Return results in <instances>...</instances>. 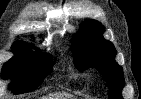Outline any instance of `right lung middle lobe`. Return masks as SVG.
<instances>
[{"mask_svg":"<svg viewBox=\"0 0 141 99\" xmlns=\"http://www.w3.org/2000/svg\"><path fill=\"white\" fill-rule=\"evenodd\" d=\"M30 45L14 43L15 56L2 68L3 78H12L9 88L14 94L26 93L37 88L52 71L51 58L33 52Z\"/></svg>","mask_w":141,"mask_h":99,"instance_id":"obj_1","label":"right lung middle lobe"}]
</instances>
